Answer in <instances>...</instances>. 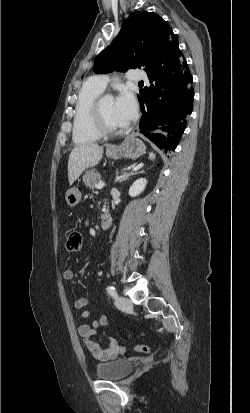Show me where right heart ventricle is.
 I'll return each mask as SVG.
<instances>
[{"instance_id": "e07e8e85", "label": "right heart ventricle", "mask_w": 250, "mask_h": 413, "mask_svg": "<svg viewBox=\"0 0 250 413\" xmlns=\"http://www.w3.org/2000/svg\"><path fill=\"white\" fill-rule=\"evenodd\" d=\"M93 80L83 84L79 90L73 119L72 137L75 144L84 145L101 138L93 119V103L103 92Z\"/></svg>"}]
</instances>
